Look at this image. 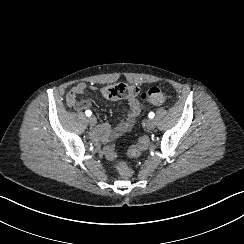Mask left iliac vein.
Here are the masks:
<instances>
[{
	"label": "left iliac vein",
	"instance_id": "1",
	"mask_svg": "<svg viewBox=\"0 0 244 244\" xmlns=\"http://www.w3.org/2000/svg\"><path fill=\"white\" fill-rule=\"evenodd\" d=\"M145 126L148 130H153L155 128L156 124H155L154 120L148 119L145 121Z\"/></svg>",
	"mask_w": 244,
	"mask_h": 244
}]
</instances>
